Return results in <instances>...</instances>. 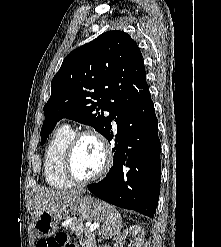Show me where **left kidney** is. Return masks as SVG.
<instances>
[{
	"label": "left kidney",
	"mask_w": 221,
	"mask_h": 247,
	"mask_svg": "<svg viewBox=\"0 0 221 247\" xmlns=\"http://www.w3.org/2000/svg\"><path fill=\"white\" fill-rule=\"evenodd\" d=\"M144 235V228L142 226L135 225L125 230V232H123L121 235H118L117 238H115V241L121 245L125 242L127 237H132V246L142 247L144 244Z\"/></svg>",
	"instance_id": "obj_1"
}]
</instances>
